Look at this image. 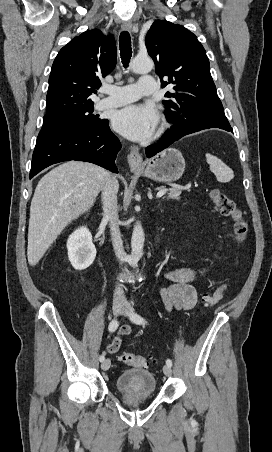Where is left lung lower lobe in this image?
I'll return each instance as SVG.
<instances>
[{
  "instance_id": "0a47b994",
  "label": "left lung lower lobe",
  "mask_w": 272,
  "mask_h": 452,
  "mask_svg": "<svg viewBox=\"0 0 272 452\" xmlns=\"http://www.w3.org/2000/svg\"><path fill=\"white\" fill-rule=\"evenodd\" d=\"M208 128H220L223 130H227L233 132L230 124H221V125H199V126H182L178 124H174L171 129L165 132L162 136V140L156 144L150 145L146 148L147 157H152L158 152L162 151L169 145H171L176 140L181 137L203 130Z\"/></svg>"
}]
</instances>
